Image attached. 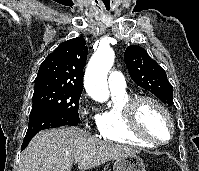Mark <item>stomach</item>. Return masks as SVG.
<instances>
[{
	"instance_id": "stomach-1",
	"label": "stomach",
	"mask_w": 199,
	"mask_h": 171,
	"mask_svg": "<svg viewBox=\"0 0 199 171\" xmlns=\"http://www.w3.org/2000/svg\"><path fill=\"white\" fill-rule=\"evenodd\" d=\"M113 171H146L143 160L137 155H129L117 158Z\"/></svg>"
}]
</instances>
